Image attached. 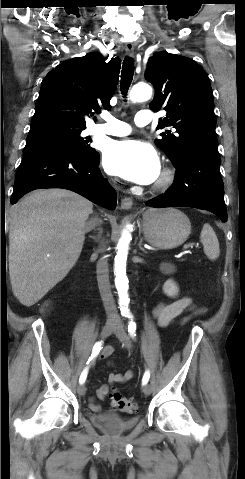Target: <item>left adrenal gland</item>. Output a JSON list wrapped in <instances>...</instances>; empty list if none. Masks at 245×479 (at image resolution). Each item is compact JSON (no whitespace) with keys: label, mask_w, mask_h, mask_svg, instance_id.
Segmentation results:
<instances>
[{"label":"left adrenal gland","mask_w":245,"mask_h":479,"mask_svg":"<svg viewBox=\"0 0 245 479\" xmlns=\"http://www.w3.org/2000/svg\"><path fill=\"white\" fill-rule=\"evenodd\" d=\"M142 242H143V239L141 238V239H140V243H139V248H140V250H142L144 253H146V251H145L144 248L142 247Z\"/></svg>","instance_id":"1"}]
</instances>
